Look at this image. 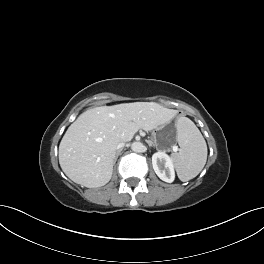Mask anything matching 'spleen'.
<instances>
[{
	"label": "spleen",
	"mask_w": 264,
	"mask_h": 264,
	"mask_svg": "<svg viewBox=\"0 0 264 264\" xmlns=\"http://www.w3.org/2000/svg\"><path fill=\"white\" fill-rule=\"evenodd\" d=\"M176 128L180 150L172 154V159L178 178L185 182L196 177L205 166L207 145L201 132L189 118L180 117Z\"/></svg>",
	"instance_id": "obj_1"
}]
</instances>
